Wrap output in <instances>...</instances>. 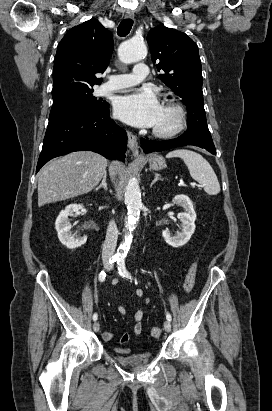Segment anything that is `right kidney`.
<instances>
[{"mask_svg":"<svg viewBox=\"0 0 272 411\" xmlns=\"http://www.w3.org/2000/svg\"><path fill=\"white\" fill-rule=\"evenodd\" d=\"M82 209L83 206L81 204H70L59 213L55 221V228L60 242L69 249L78 248L87 240L86 236L79 238L70 231L72 225L69 222V216Z\"/></svg>","mask_w":272,"mask_h":411,"instance_id":"right-kidney-1","label":"right kidney"}]
</instances>
